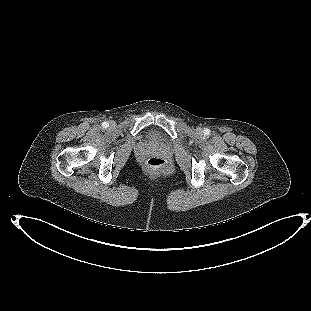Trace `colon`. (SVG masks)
<instances>
[{
    "label": "colon",
    "instance_id": "5ec220e1",
    "mask_svg": "<svg viewBox=\"0 0 311 311\" xmlns=\"http://www.w3.org/2000/svg\"><path fill=\"white\" fill-rule=\"evenodd\" d=\"M147 167L151 171H161V170L165 169L166 161L161 157L153 156V157L148 159Z\"/></svg>",
    "mask_w": 311,
    "mask_h": 311
}]
</instances>
